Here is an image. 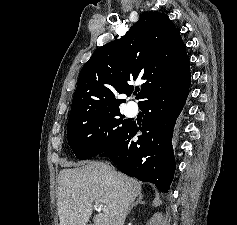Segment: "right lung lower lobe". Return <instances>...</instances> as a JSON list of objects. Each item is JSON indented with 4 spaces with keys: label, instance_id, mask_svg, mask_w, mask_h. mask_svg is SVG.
Instances as JSON below:
<instances>
[{
    "label": "right lung lower lobe",
    "instance_id": "98d812e1",
    "mask_svg": "<svg viewBox=\"0 0 237 225\" xmlns=\"http://www.w3.org/2000/svg\"><path fill=\"white\" fill-rule=\"evenodd\" d=\"M190 80L166 83L156 88L140 104L145 113L142 126L129 123L121 137L99 156L109 157L118 169L144 182H152L167 193L175 172L172 134L189 93ZM141 130L138 141H132ZM97 155V156H98Z\"/></svg>",
    "mask_w": 237,
    "mask_h": 225
}]
</instances>
